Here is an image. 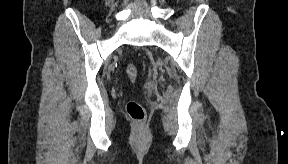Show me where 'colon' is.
<instances>
[{
    "label": "colon",
    "instance_id": "obj_1",
    "mask_svg": "<svg viewBox=\"0 0 288 164\" xmlns=\"http://www.w3.org/2000/svg\"><path fill=\"white\" fill-rule=\"evenodd\" d=\"M126 74L132 81H135L138 71L137 68L129 64L126 66ZM127 113L131 117V120H144L145 111L139 101H130L127 104Z\"/></svg>",
    "mask_w": 288,
    "mask_h": 164
}]
</instances>
